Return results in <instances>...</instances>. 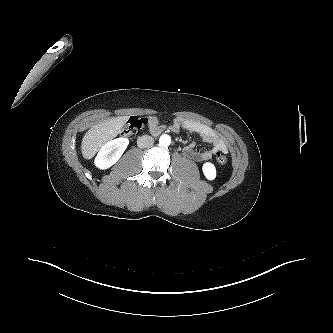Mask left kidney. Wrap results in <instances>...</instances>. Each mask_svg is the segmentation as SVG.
Returning <instances> with one entry per match:
<instances>
[{
	"label": "left kidney",
	"mask_w": 333,
	"mask_h": 333,
	"mask_svg": "<svg viewBox=\"0 0 333 333\" xmlns=\"http://www.w3.org/2000/svg\"><path fill=\"white\" fill-rule=\"evenodd\" d=\"M202 170H203V173H204L205 177L208 180H214L215 179V177H216V168L212 163H210V162L204 163L203 167H202Z\"/></svg>",
	"instance_id": "obj_1"
}]
</instances>
